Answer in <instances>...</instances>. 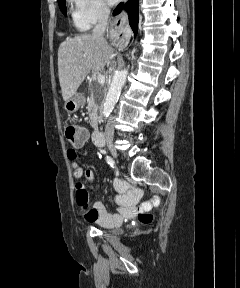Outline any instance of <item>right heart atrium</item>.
<instances>
[{
    "instance_id": "d8ad5b80",
    "label": "right heart atrium",
    "mask_w": 240,
    "mask_h": 288,
    "mask_svg": "<svg viewBox=\"0 0 240 288\" xmlns=\"http://www.w3.org/2000/svg\"><path fill=\"white\" fill-rule=\"evenodd\" d=\"M75 6L74 18L78 25L87 28L106 19L109 9L104 0H72Z\"/></svg>"
}]
</instances>
